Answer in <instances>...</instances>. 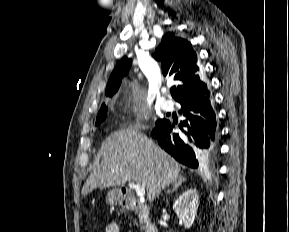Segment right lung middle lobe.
<instances>
[{
  "instance_id": "dd1d6c3e",
  "label": "right lung middle lobe",
  "mask_w": 289,
  "mask_h": 232,
  "mask_svg": "<svg viewBox=\"0 0 289 232\" xmlns=\"http://www.w3.org/2000/svg\"><path fill=\"white\" fill-rule=\"evenodd\" d=\"M108 111V105L104 104L99 113H98V116H97V119H96V125H99L102 121L105 120L106 118V112ZM163 120H158L156 122V125L160 124Z\"/></svg>"
}]
</instances>
